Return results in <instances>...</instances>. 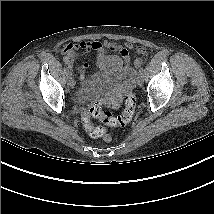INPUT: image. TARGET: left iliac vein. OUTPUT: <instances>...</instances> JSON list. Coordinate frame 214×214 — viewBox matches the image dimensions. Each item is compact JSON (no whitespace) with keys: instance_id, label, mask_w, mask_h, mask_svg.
I'll return each mask as SVG.
<instances>
[{"instance_id":"left-iliac-vein-1","label":"left iliac vein","mask_w":214,"mask_h":214,"mask_svg":"<svg viewBox=\"0 0 214 214\" xmlns=\"http://www.w3.org/2000/svg\"><path fill=\"white\" fill-rule=\"evenodd\" d=\"M136 82L138 83V85H141L142 84V78L140 75H137L136 76Z\"/></svg>"}]
</instances>
